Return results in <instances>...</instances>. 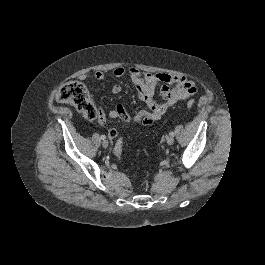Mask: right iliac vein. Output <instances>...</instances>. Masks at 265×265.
Instances as JSON below:
<instances>
[{
    "label": "right iliac vein",
    "instance_id": "right-iliac-vein-1",
    "mask_svg": "<svg viewBox=\"0 0 265 265\" xmlns=\"http://www.w3.org/2000/svg\"><path fill=\"white\" fill-rule=\"evenodd\" d=\"M102 146H103L104 148H107V147H108V141H107V140H104V141L102 142Z\"/></svg>",
    "mask_w": 265,
    "mask_h": 265
}]
</instances>
